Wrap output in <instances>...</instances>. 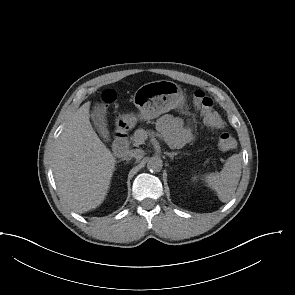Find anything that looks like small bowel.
I'll use <instances>...</instances> for the list:
<instances>
[{
  "label": "small bowel",
  "instance_id": "obj_1",
  "mask_svg": "<svg viewBox=\"0 0 295 295\" xmlns=\"http://www.w3.org/2000/svg\"><path fill=\"white\" fill-rule=\"evenodd\" d=\"M159 130L171 136L174 144L182 145L192 139V132L189 128L185 127L182 121L173 116H163L158 122Z\"/></svg>",
  "mask_w": 295,
  "mask_h": 295
}]
</instances>
